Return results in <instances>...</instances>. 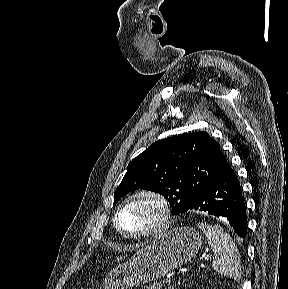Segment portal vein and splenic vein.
<instances>
[{
  "mask_svg": "<svg viewBox=\"0 0 288 289\" xmlns=\"http://www.w3.org/2000/svg\"><path fill=\"white\" fill-rule=\"evenodd\" d=\"M169 283H170V279L167 278V279L165 280L164 284L167 285V284H169Z\"/></svg>",
  "mask_w": 288,
  "mask_h": 289,
  "instance_id": "portal-vein-and-splenic-vein-1",
  "label": "portal vein and splenic vein"
}]
</instances>
